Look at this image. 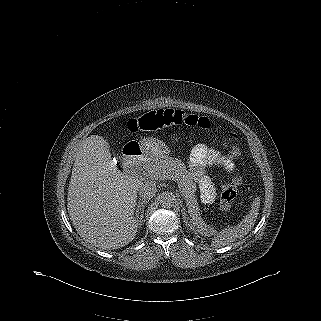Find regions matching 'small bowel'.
Returning a JSON list of instances; mask_svg holds the SVG:
<instances>
[{"mask_svg":"<svg viewBox=\"0 0 321 321\" xmlns=\"http://www.w3.org/2000/svg\"><path fill=\"white\" fill-rule=\"evenodd\" d=\"M195 152L202 154L209 165H221L228 172L233 170V164L227 158L221 156L216 150L205 149L203 146H198L196 147ZM204 201L209 202L210 199L205 198Z\"/></svg>","mask_w":321,"mask_h":321,"instance_id":"1","label":"small bowel"}]
</instances>
